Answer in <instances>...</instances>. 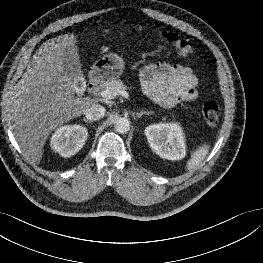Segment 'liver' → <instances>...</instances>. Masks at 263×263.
<instances>
[{
  "mask_svg": "<svg viewBox=\"0 0 263 263\" xmlns=\"http://www.w3.org/2000/svg\"><path fill=\"white\" fill-rule=\"evenodd\" d=\"M73 34L46 41L33 56L11 99L14 136L24 156L40 163L48 136L94 102L75 97L74 82L63 66L66 49L78 51Z\"/></svg>",
  "mask_w": 263,
  "mask_h": 263,
  "instance_id": "1",
  "label": "liver"
}]
</instances>
